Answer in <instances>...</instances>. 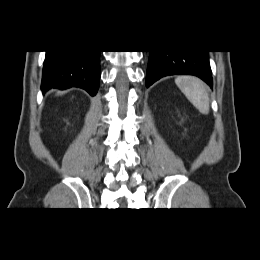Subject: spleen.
I'll return each instance as SVG.
<instances>
[{
  "label": "spleen",
  "instance_id": "3e777b00",
  "mask_svg": "<svg viewBox=\"0 0 260 260\" xmlns=\"http://www.w3.org/2000/svg\"><path fill=\"white\" fill-rule=\"evenodd\" d=\"M175 83L201 114L209 113L207 88L200 79L192 76H179L175 79Z\"/></svg>",
  "mask_w": 260,
  "mask_h": 260
}]
</instances>
